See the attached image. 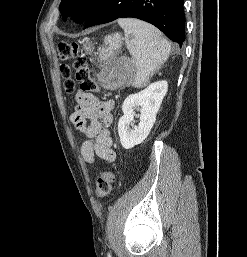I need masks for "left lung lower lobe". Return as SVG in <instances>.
<instances>
[{
    "label": "left lung lower lobe",
    "instance_id": "obj_1",
    "mask_svg": "<svg viewBox=\"0 0 247 257\" xmlns=\"http://www.w3.org/2000/svg\"><path fill=\"white\" fill-rule=\"evenodd\" d=\"M184 0H101L85 21V28L123 17L144 20L182 46L185 41Z\"/></svg>",
    "mask_w": 247,
    "mask_h": 257
}]
</instances>
